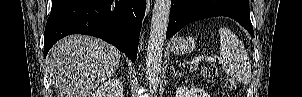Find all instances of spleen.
<instances>
[{
    "mask_svg": "<svg viewBox=\"0 0 302 97\" xmlns=\"http://www.w3.org/2000/svg\"><path fill=\"white\" fill-rule=\"evenodd\" d=\"M218 32L220 56L225 60L223 71L237 81L249 83L252 75L251 64L243 43L226 27L219 28Z\"/></svg>",
    "mask_w": 302,
    "mask_h": 97,
    "instance_id": "3e777b00",
    "label": "spleen"
}]
</instances>
